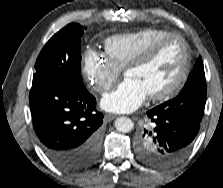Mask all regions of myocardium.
<instances>
[{
  "label": "myocardium",
  "instance_id": "1",
  "mask_svg": "<svg viewBox=\"0 0 223 188\" xmlns=\"http://www.w3.org/2000/svg\"><path fill=\"white\" fill-rule=\"evenodd\" d=\"M170 39H178L183 46V63L180 69V72L176 78V80L171 84L170 87L166 88L162 92L155 93L149 95L148 98L151 101H164L173 96H175L184 86L189 72H190V65H191V52L190 47L186 39L179 33L170 32L161 37L157 40L146 46L142 51L136 54L125 66L124 73L126 74L129 70L139 67L146 62H148L158 51V49L168 40Z\"/></svg>",
  "mask_w": 223,
  "mask_h": 188
}]
</instances>
